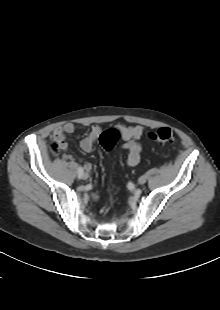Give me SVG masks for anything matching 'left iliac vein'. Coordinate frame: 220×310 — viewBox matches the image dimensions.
Masks as SVG:
<instances>
[{
    "mask_svg": "<svg viewBox=\"0 0 220 310\" xmlns=\"http://www.w3.org/2000/svg\"><path fill=\"white\" fill-rule=\"evenodd\" d=\"M145 182H146L145 177H140V178H139V183H140V184H144Z\"/></svg>",
    "mask_w": 220,
    "mask_h": 310,
    "instance_id": "1",
    "label": "left iliac vein"
}]
</instances>
